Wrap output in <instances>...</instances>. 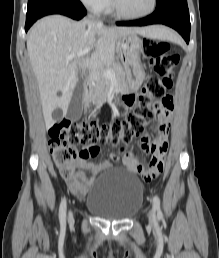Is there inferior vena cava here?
I'll use <instances>...</instances> for the list:
<instances>
[{
  "mask_svg": "<svg viewBox=\"0 0 219 258\" xmlns=\"http://www.w3.org/2000/svg\"><path fill=\"white\" fill-rule=\"evenodd\" d=\"M90 17H91V16H90ZM98 24L102 25V23H101V22H98Z\"/></svg>",
  "mask_w": 219,
  "mask_h": 258,
  "instance_id": "obj_1",
  "label": "inferior vena cava"
}]
</instances>
